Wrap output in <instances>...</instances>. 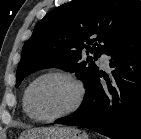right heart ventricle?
I'll return each mask as SVG.
<instances>
[{"mask_svg":"<svg viewBox=\"0 0 141 139\" xmlns=\"http://www.w3.org/2000/svg\"><path fill=\"white\" fill-rule=\"evenodd\" d=\"M23 108H24V111L26 112L25 106H24V98H23ZM26 114H27V112H26ZM27 115H28V114H27Z\"/></svg>","mask_w":141,"mask_h":139,"instance_id":"obj_1","label":"right heart ventricle"}]
</instances>
